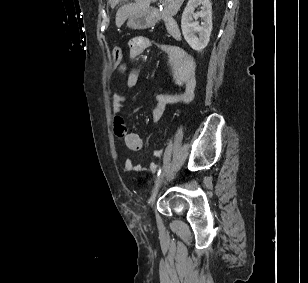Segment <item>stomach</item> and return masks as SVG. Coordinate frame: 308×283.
<instances>
[{
  "instance_id": "0dacf381",
  "label": "stomach",
  "mask_w": 308,
  "mask_h": 283,
  "mask_svg": "<svg viewBox=\"0 0 308 283\" xmlns=\"http://www.w3.org/2000/svg\"><path fill=\"white\" fill-rule=\"evenodd\" d=\"M152 24L148 13H138L128 18L127 26L132 29H144Z\"/></svg>"
}]
</instances>
